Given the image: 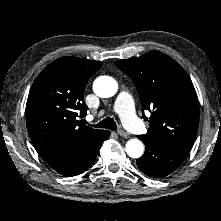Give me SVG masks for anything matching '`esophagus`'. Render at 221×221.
Listing matches in <instances>:
<instances>
[{
	"instance_id": "obj_1",
	"label": "esophagus",
	"mask_w": 221,
	"mask_h": 221,
	"mask_svg": "<svg viewBox=\"0 0 221 221\" xmlns=\"http://www.w3.org/2000/svg\"><path fill=\"white\" fill-rule=\"evenodd\" d=\"M118 135L120 136V137H122V138H128V133L127 132H125L123 129H120L119 131H118Z\"/></svg>"
}]
</instances>
